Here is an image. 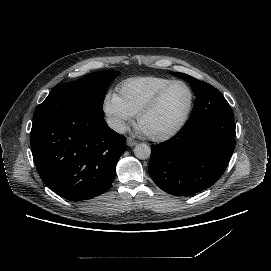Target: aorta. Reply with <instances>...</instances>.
<instances>
[{
	"instance_id": "1",
	"label": "aorta",
	"mask_w": 271,
	"mask_h": 271,
	"mask_svg": "<svg viewBox=\"0 0 271 271\" xmlns=\"http://www.w3.org/2000/svg\"><path fill=\"white\" fill-rule=\"evenodd\" d=\"M134 154L138 159H147L151 155V149L147 144H137L134 148Z\"/></svg>"
}]
</instances>
